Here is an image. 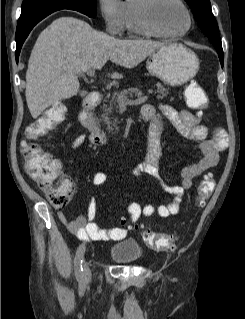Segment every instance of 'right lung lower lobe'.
<instances>
[{"label":"right lung lower lobe","instance_id":"right-lung-lower-lobe-1","mask_svg":"<svg viewBox=\"0 0 245 319\" xmlns=\"http://www.w3.org/2000/svg\"><path fill=\"white\" fill-rule=\"evenodd\" d=\"M49 15V14H48ZM48 15H44L35 19H32L24 24L21 25H17V29H16V60L18 61V57L20 54V50L21 47L25 41V39L27 38V36L29 35L30 31L32 30V28L39 22L41 21L43 18H45Z\"/></svg>","mask_w":245,"mask_h":319}]
</instances>
